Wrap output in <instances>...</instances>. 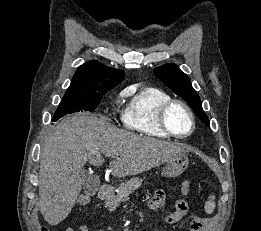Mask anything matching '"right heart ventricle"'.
I'll return each mask as SVG.
<instances>
[{
  "mask_svg": "<svg viewBox=\"0 0 261 231\" xmlns=\"http://www.w3.org/2000/svg\"><path fill=\"white\" fill-rule=\"evenodd\" d=\"M131 96L121 112L123 125L145 136L169 138L159 125V110L162 105L171 100V96L157 88L141 89L133 92L125 91Z\"/></svg>",
  "mask_w": 261,
  "mask_h": 231,
  "instance_id": "1",
  "label": "right heart ventricle"
}]
</instances>
